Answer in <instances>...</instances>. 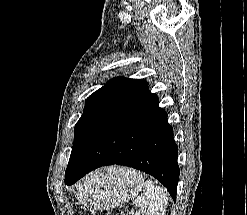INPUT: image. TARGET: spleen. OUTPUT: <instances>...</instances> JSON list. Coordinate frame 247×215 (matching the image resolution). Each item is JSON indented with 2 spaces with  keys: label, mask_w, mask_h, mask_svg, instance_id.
<instances>
[{
  "label": "spleen",
  "mask_w": 247,
  "mask_h": 215,
  "mask_svg": "<svg viewBox=\"0 0 247 215\" xmlns=\"http://www.w3.org/2000/svg\"><path fill=\"white\" fill-rule=\"evenodd\" d=\"M139 178L142 181L144 195H139L134 200L135 206L140 209L136 215H165L169 200L167 190L151 181H144L140 175Z\"/></svg>",
  "instance_id": "obj_1"
}]
</instances>
